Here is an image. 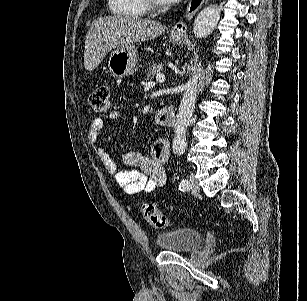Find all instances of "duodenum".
Segmentation results:
<instances>
[{
    "label": "duodenum",
    "instance_id": "duodenum-1",
    "mask_svg": "<svg viewBox=\"0 0 307 301\" xmlns=\"http://www.w3.org/2000/svg\"><path fill=\"white\" fill-rule=\"evenodd\" d=\"M157 123L161 126H172L175 123L176 116L173 108L171 106H166L162 108L157 116Z\"/></svg>",
    "mask_w": 307,
    "mask_h": 301
}]
</instances>
